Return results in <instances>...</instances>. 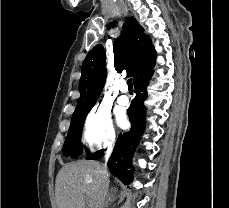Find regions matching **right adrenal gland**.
<instances>
[{"mask_svg":"<svg viewBox=\"0 0 229 208\" xmlns=\"http://www.w3.org/2000/svg\"><path fill=\"white\" fill-rule=\"evenodd\" d=\"M116 192H107V196H106V202H105V206L107 208L109 202H114V196H115Z\"/></svg>","mask_w":229,"mask_h":208,"instance_id":"1","label":"right adrenal gland"}]
</instances>
